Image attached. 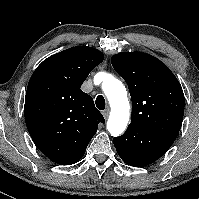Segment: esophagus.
<instances>
[{"label":"esophagus","instance_id":"34e87169","mask_svg":"<svg viewBox=\"0 0 199 199\" xmlns=\"http://www.w3.org/2000/svg\"><path fill=\"white\" fill-rule=\"evenodd\" d=\"M109 113H110V110H109V109H105V110L102 112V114H103V116H104L105 119L108 118Z\"/></svg>","mask_w":199,"mask_h":199}]
</instances>
